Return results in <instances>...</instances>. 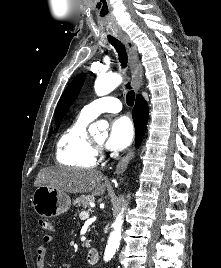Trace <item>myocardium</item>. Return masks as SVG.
Instances as JSON below:
<instances>
[{
  "label": "myocardium",
  "instance_id": "myocardium-1",
  "mask_svg": "<svg viewBox=\"0 0 221 268\" xmlns=\"http://www.w3.org/2000/svg\"><path fill=\"white\" fill-rule=\"evenodd\" d=\"M90 140H91V144L94 148V150L97 152V154L100 153L101 148H102V144L98 143L93 137L90 136Z\"/></svg>",
  "mask_w": 221,
  "mask_h": 268
}]
</instances>
